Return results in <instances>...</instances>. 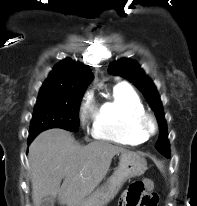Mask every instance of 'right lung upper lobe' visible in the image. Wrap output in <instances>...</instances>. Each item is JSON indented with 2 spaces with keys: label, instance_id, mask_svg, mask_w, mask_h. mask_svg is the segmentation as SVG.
<instances>
[{
  "label": "right lung upper lobe",
  "instance_id": "1",
  "mask_svg": "<svg viewBox=\"0 0 197 206\" xmlns=\"http://www.w3.org/2000/svg\"><path fill=\"white\" fill-rule=\"evenodd\" d=\"M93 75L88 67L71 59L58 63L40 89V92H84Z\"/></svg>",
  "mask_w": 197,
  "mask_h": 206
}]
</instances>
